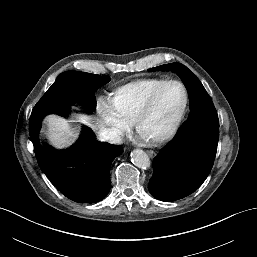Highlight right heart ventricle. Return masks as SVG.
Listing matches in <instances>:
<instances>
[{
  "instance_id": "e07e8e85",
  "label": "right heart ventricle",
  "mask_w": 257,
  "mask_h": 257,
  "mask_svg": "<svg viewBox=\"0 0 257 257\" xmlns=\"http://www.w3.org/2000/svg\"><path fill=\"white\" fill-rule=\"evenodd\" d=\"M165 81L147 78L130 82L118 88L112 100L118 111L132 121L153 90Z\"/></svg>"
}]
</instances>
